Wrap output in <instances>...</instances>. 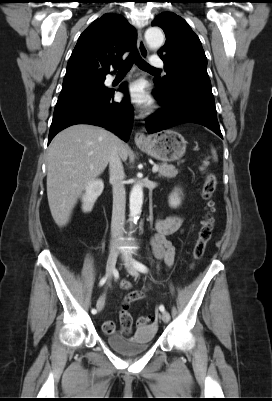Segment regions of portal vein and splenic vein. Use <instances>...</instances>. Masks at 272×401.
Masks as SVG:
<instances>
[{"mask_svg": "<svg viewBox=\"0 0 272 401\" xmlns=\"http://www.w3.org/2000/svg\"><path fill=\"white\" fill-rule=\"evenodd\" d=\"M152 171L153 173H156L158 171V166H153Z\"/></svg>", "mask_w": 272, "mask_h": 401, "instance_id": "1", "label": "portal vein and splenic vein"}]
</instances>
